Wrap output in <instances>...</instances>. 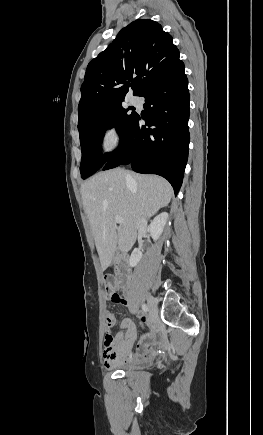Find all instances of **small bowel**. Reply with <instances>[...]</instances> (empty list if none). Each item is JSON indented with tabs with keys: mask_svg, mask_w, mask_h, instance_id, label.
I'll return each instance as SVG.
<instances>
[{
	"mask_svg": "<svg viewBox=\"0 0 263 435\" xmlns=\"http://www.w3.org/2000/svg\"><path fill=\"white\" fill-rule=\"evenodd\" d=\"M118 304L128 305L125 298H121ZM142 324H147L148 319L140 316ZM115 324V317L111 313L106 314V325L112 327ZM120 332L113 339L115 343L114 350L103 349V361L106 367L112 368L126 363L144 361L153 357L160 345V336L158 331L151 327L138 340L135 350L133 345L136 339V327L132 320L124 319L120 324ZM105 343V342H104Z\"/></svg>",
	"mask_w": 263,
	"mask_h": 435,
	"instance_id": "small-bowel-1",
	"label": "small bowel"
}]
</instances>
